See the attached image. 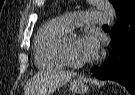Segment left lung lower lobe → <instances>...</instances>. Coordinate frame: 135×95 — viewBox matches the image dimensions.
Instances as JSON below:
<instances>
[{
  "mask_svg": "<svg viewBox=\"0 0 135 95\" xmlns=\"http://www.w3.org/2000/svg\"><path fill=\"white\" fill-rule=\"evenodd\" d=\"M112 50L106 62L91 72L98 79L114 80L135 93V8L117 19L111 31Z\"/></svg>",
  "mask_w": 135,
  "mask_h": 95,
  "instance_id": "obj_1",
  "label": "left lung lower lobe"
}]
</instances>
